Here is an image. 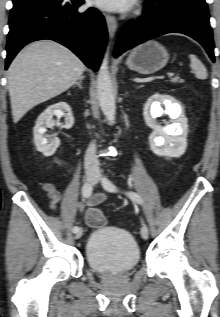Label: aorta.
Returning a JSON list of instances; mask_svg holds the SVG:
<instances>
[{
  "label": "aorta",
  "instance_id": "aorta-1",
  "mask_svg": "<svg viewBox=\"0 0 220 317\" xmlns=\"http://www.w3.org/2000/svg\"><path fill=\"white\" fill-rule=\"evenodd\" d=\"M108 50L107 47L103 60L101 62L97 76V92L101 110L110 124L115 120V94L108 67Z\"/></svg>",
  "mask_w": 220,
  "mask_h": 317
}]
</instances>
